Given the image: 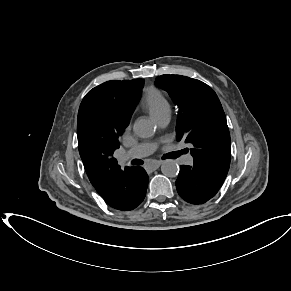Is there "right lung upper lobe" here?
<instances>
[{
	"label": "right lung upper lobe",
	"instance_id": "cb5924a9",
	"mask_svg": "<svg viewBox=\"0 0 291 291\" xmlns=\"http://www.w3.org/2000/svg\"><path fill=\"white\" fill-rule=\"evenodd\" d=\"M143 82V79L107 81L90 90L80 104L79 153L91 184L108 203L117 202L124 194L123 178L128 167L122 171L113 153L120 146V130L124 131L129 122ZM109 114L117 120V135L107 127Z\"/></svg>",
	"mask_w": 291,
	"mask_h": 291
}]
</instances>
